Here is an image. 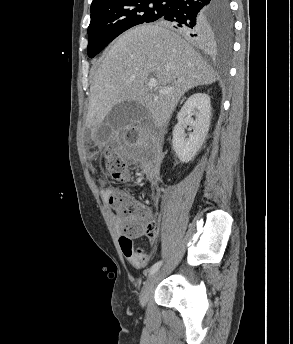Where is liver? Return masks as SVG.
<instances>
[{
	"instance_id": "6515ba94",
	"label": "liver",
	"mask_w": 293,
	"mask_h": 344,
	"mask_svg": "<svg viewBox=\"0 0 293 344\" xmlns=\"http://www.w3.org/2000/svg\"><path fill=\"white\" fill-rule=\"evenodd\" d=\"M149 78L156 80L157 89L170 91L150 93ZM217 79L214 70L178 34L159 24L134 27L116 40L93 78L86 126H100L119 103L137 102L150 113L155 126L163 127L188 90Z\"/></svg>"
}]
</instances>
